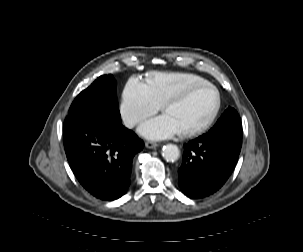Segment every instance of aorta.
Instances as JSON below:
<instances>
[{
	"label": "aorta",
	"instance_id": "aorta-1",
	"mask_svg": "<svg viewBox=\"0 0 303 252\" xmlns=\"http://www.w3.org/2000/svg\"><path fill=\"white\" fill-rule=\"evenodd\" d=\"M162 156L167 161H176L180 156L179 148L174 144L164 145L162 148Z\"/></svg>",
	"mask_w": 303,
	"mask_h": 252
}]
</instances>
